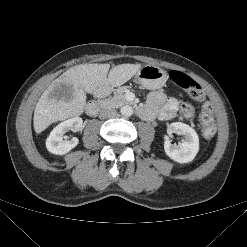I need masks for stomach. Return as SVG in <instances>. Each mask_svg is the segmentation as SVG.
Here are the masks:
<instances>
[{
    "instance_id": "1",
    "label": "stomach",
    "mask_w": 247,
    "mask_h": 247,
    "mask_svg": "<svg viewBox=\"0 0 247 247\" xmlns=\"http://www.w3.org/2000/svg\"><path fill=\"white\" fill-rule=\"evenodd\" d=\"M135 80L145 88L158 89L165 84L167 74L157 66L146 65L137 72Z\"/></svg>"
}]
</instances>
